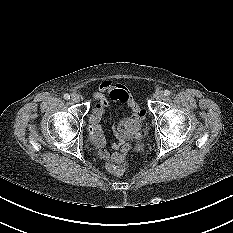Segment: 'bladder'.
<instances>
[{
    "mask_svg": "<svg viewBox=\"0 0 233 233\" xmlns=\"http://www.w3.org/2000/svg\"><path fill=\"white\" fill-rule=\"evenodd\" d=\"M121 124L127 126V128H128L127 133H129V132H135L140 127L139 123H131L130 118L123 119L121 121L120 125Z\"/></svg>",
    "mask_w": 233,
    "mask_h": 233,
    "instance_id": "bladder-1",
    "label": "bladder"
}]
</instances>
